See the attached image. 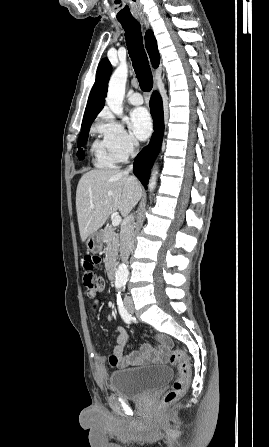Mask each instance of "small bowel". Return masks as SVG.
<instances>
[{
	"instance_id": "1",
	"label": "small bowel",
	"mask_w": 269,
	"mask_h": 447,
	"mask_svg": "<svg viewBox=\"0 0 269 447\" xmlns=\"http://www.w3.org/2000/svg\"><path fill=\"white\" fill-rule=\"evenodd\" d=\"M99 305L100 302L98 300L92 303L94 309L98 308ZM117 335V345L114 351L119 358V364L122 368L132 367L144 361L163 362L167 358V353L161 340L168 339L169 334L166 331L156 332L154 334V338L157 340L155 345L144 344L138 351L133 352L127 350L129 341L125 329L122 326L117 327Z\"/></svg>"
}]
</instances>
